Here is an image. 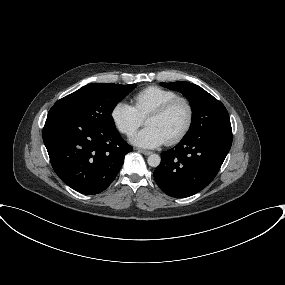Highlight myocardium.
<instances>
[{"instance_id": "myocardium-1", "label": "myocardium", "mask_w": 285, "mask_h": 285, "mask_svg": "<svg viewBox=\"0 0 285 285\" xmlns=\"http://www.w3.org/2000/svg\"><path fill=\"white\" fill-rule=\"evenodd\" d=\"M178 103H182L186 107V111H187L186 120L182 128L175 135H173L172 137H170L169 139L165 141L167 145H172V144L179 142L190 130L191 125L193 123V118H194V108H193L191 101L186 97L176 96L166 101L162 105L156 107L155 109L150 111L148 115L146 116V118L152 117V116H155V117L162 116L166 114L173 106H175Z\"/></svg>"}]
</instances>
